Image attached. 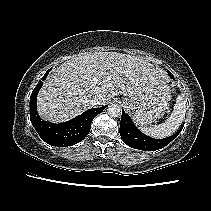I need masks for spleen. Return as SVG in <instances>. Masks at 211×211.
I'll return each instance as SVG.
<instances>
[{
  "mask_svg": "<svg viewBox=\"0 0 211 211\" xmlns=\"http://www.w3.org/2000/svg\"><path fill=\"white\" fill-rule=\"evenodd\" d=\"M186 112V104L182 96H178L174 110L165 123L140 127V129L147 135L154 138H164L172 135L182 124Z\"/></svg>",
  "mask_w": 211,
  "mask_h": 211,
  "instance_id": "1",
  "label": "spleen"
}]
</instances>
